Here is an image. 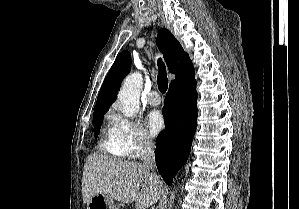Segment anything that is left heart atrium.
I'll list each match as a JSON object with an SVG mask.
<instances>
[{
  "mask_svg": "<svg viewBox=\"0 0 299 209\" xmlns=\"http://www.w3.org/2000/svg\"><path fill=\"white\" fill-rule=\"evenodd\" d=\"M146 121L149 132L152 136L159 134L165 126V119L162 113L158 110L150 112Z\"/></svg>",
  "mask_w": 299,
  "mask_h": 209,
  "instance_id": "left-heart-atrium-1",
  "label": "left heart atrium"
}]
</instances>
